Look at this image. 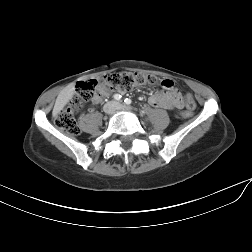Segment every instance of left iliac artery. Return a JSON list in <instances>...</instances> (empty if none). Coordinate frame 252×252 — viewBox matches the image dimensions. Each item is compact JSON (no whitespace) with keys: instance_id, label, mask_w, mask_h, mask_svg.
<instances>
[{"instance_id":"obj_1","label":"left iliac artery","mask_w":252,"mask_h":252,"mask_svg":"<svg viewBox=\"0 0 252 252\" xmlns=\"http://www.w3.org/2000/svg\"><path fill=\"white\" fill-rule=\"evenodd\" d=\"M124 102H125L127 105H130L132 101H131L130 98H126V99L124 100Z\"/></svg>"}]
</instances>
